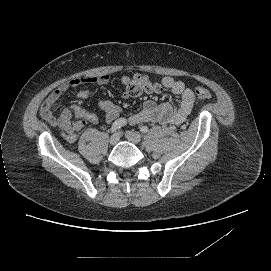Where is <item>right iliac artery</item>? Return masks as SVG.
I'll use <instances>...</instances> for the list:
<instances>
[{"mask_svg": "<svg viewBox=\"0 0 271 271\" xmlns=\"http://www.w3.org/2000/svg\"><path fill=\"white\" fill-rule=\"evenodd\" d=\"M127 124V120L125 118L117 119L111 127V132L114 133L117 130H119L121 127L125 126Z\"/></svg>", "mask_w": 271, "mask_h": 271, "instance_id": "82829eb1", "label": "right iliac artery"}]
</instances>
